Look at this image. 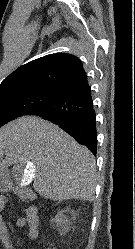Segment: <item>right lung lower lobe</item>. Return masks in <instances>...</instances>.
Masks as SVG:
<instances>
[{"label":"right lung lower lobe","instance_id":"right-lung-lower-lobe-1","mask_svg":"<svg viewBox=\"0 0 135 249\" xmlns=\"http://www.w3.org/2000/svg\"><path fill=\"white\" fill-rule=\"evenodd\" d=\"M89 84L60 93L28 115L40 116L60 126L94 155L97 152L96 114Z\"/></svg>","mask_w":135,"mask_h":249}]
</instances>
